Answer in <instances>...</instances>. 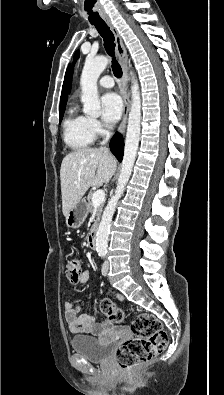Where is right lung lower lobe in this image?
I'll list each match as a JSON object with an SVG mask.
<instances>
[{
	"mask_svg": "<svg viewBox=\"0 0 224 395\" xmlns=\"http://www.w3.org/2000/svg\"><path fill=\"white\" fill-rule=\"evenodd\" d=\"M110 150L116 156L118 161H122L123 158V150H124V143L123 138L119 133H116L111 142H110Z\"/></svg>",
	"mask_w": 224,
	"mask_h": 395,
	"instance_id": "obj_1",
	"label": "right lung lower lobe"
}]
</instances>
